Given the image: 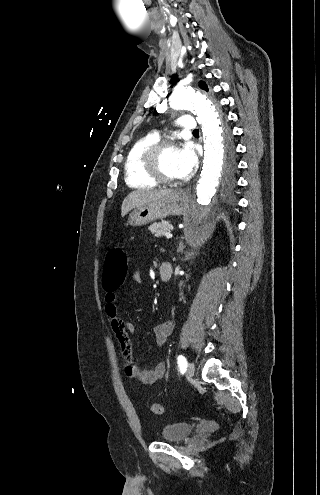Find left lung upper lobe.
I'll use <instances>...</instances> for the list:
<instances>
[{
    "label": "left lung upper lobe",
    "mask_w": 320,
    "mask_h": 495,
    "mask_svg": "<svg viewBox=\"0 0 320 495\" xmlns=\"http://www.w3.org/2000/svg\"><path fill=\"white\" fill-rule=\"evenodd\" d=\"M200 88L208 91L207 85L203 81H200ZM224 133L226 137V142L224 146V166H225V171L227 173H230L235 167L234 149L232 142L230 140L229 132L224 131Z\"/></svg>",
    "instance_id": "1"
}]
</instances>
